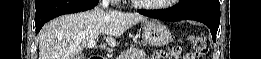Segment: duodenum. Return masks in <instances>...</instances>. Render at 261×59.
Masks as SVG:
<instances>
[{
	"mask_svg": "<svg viewBox=\"0 0 261 59\" xmlns=\"http://www.w3.org/2000/svg\"><path fill=\"white\" fill-rule=\"evenodd\" d=\"M89 59H104L102 56H91Z\"/></svg>",
	"mask_w": 261,
	"mask_h": 59,
	"instance_id": "duodenum-1",
	"label": "duodenum"
}]
</instances>
